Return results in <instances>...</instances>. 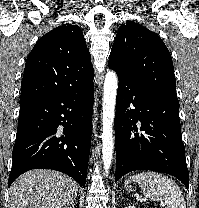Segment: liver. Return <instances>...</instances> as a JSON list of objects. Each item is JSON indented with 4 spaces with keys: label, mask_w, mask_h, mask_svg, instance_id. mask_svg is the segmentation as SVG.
<instances>
[{
    "label": "liver",
    "mask_w": 199,
    "mask_h": 208,
    "mask_svg": "<svg viewBox=\"0 0 199 208\" xmlns=\"http://www.w3.org/2000/svg\"><path fill=\"white\" fill-rule=\"evenodd\" d=\"M78 184L68 175L34 169L19 176L10 187V208H69Z\"/></svg>",
    "instance_id": "liver-1"
}]
</instances>
